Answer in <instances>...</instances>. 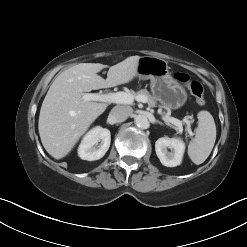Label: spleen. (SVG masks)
Instances as JSON below:
<instances>
[{
	"label": "spleen",
	"mask_w": 247,
	"mask_h": 247,
	"mask_svg": "<svg viewBox=\"0 0 247 247\" xmlns=\"http://www.w3.org/2000/svg\"><path fill=\"white\" fill-rule=\"evenodd\" d=\"M198 127L195 137L188 145V155L196 165L202 164L210 155L216 140V126L208 111H200L197 115Z\"/></svg>",
	"instance_id": "1"
}]
</instances>
